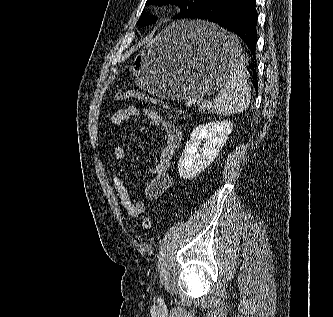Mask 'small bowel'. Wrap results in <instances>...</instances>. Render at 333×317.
Wrapping results in <instances>:
<instances>
[{
	"mask_svg": "<svg viewBox=\"0 0 333 317\" xmlns=\"http://www.w3.org/2000/svg\"><path fill=\"white\" fill-rule=\"evenodd\" d=\"M143 114L150 122L158 126L164 135V144L155 164L151 168L152 179L144 187V196L148 200L160 198L172 185L173 180L168 173L171 160L180 144V130L161 114L151 109H141L138 106H127L116 110L110 117L113 126H122L130 119ZM114 159L121 163L126 157L125 150L120 146L112 149ZM111 180L119 196L122 207L130 217L138 218L146 211V203L140 199H133L121 176L112 173Z\"/></svg>",
	"mask_w": 333,
	"mask_h": 317,
	"instance_id": "1",
	"label": "small bowel"
}]
</instances>
